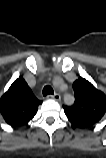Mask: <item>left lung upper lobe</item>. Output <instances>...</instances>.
<instances>
[{
  "instance_id": "obj_1",
  "label": "left lung upper lobe",
  "mask_w": 106,
  "mask_h": 158,
  "mask_svg": "<svg viewBox=\"0 0 106 158\" xmlns=\"http://www.w3.org/2000/svg\"><path fill=\"white\" fill-rule=\"evenodd\" d=\"M73 89L75 102L63 106L65 114L75 127H92L106 115V95L82 77L73 83Z\"/></svg>"
}]
</instances>
